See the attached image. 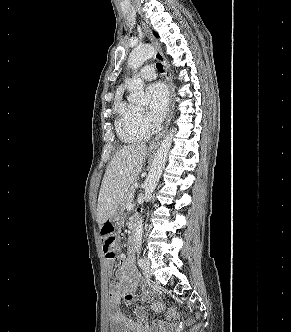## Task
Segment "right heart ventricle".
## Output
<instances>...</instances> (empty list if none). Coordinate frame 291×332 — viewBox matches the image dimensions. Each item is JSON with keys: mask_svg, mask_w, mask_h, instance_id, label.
<instances>
[{"mask_svg": "<svg viewBox=\"0 0 291 332\" xmlns=\"http://www.w3.org/2000/svg\"><path fill=\"white\" fill-rule=\"evenodd\" d=\"M116 115V131L119 138L125 143H134L145 140L148 131L138 123V109L121 97L114 103Z\"/></svg>", "mask_w": 291, "mask_h": 332, "instance_id": "right-heart-ventricle-1", "label": "right heart ventricle"}]
</instances>
